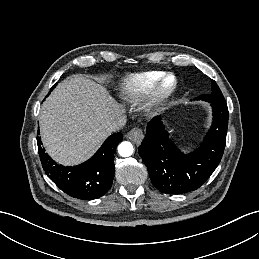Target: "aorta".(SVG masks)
Instances as JSON below:
<instances>
[{
  "label": "aorta",
  "mask_w": 259,
  "mask_h": 259,
  "mask_svg": "<svg viewBox=\"0 0 259 259\" xmlns=\"http://www.w3.org/2000/svg\"><path fill=\"white\" fill-rule=\"evenodd\" d=\"M133 151V145L128 141L121 142L118 146V153L122 157L131 156L133 154Z\"/></svg>",
  "instance_id": "aorta-1"
}]
</instances>
